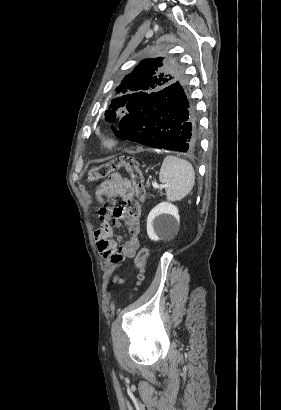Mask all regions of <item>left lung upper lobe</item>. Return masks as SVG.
Returning a JSON list of instances; mask_svg holds the SVG:
<instances>
[{"mask_svg":"<svg viewBox=\"0 0 281 410\" xmlns=\"http://www.w3.org/2000/svg\"><path fill=\"white\" fill-rule=\"evenodd\" d=\"M183 80V72L177 64L163 58L146 59L117 87L119 96L111 101L105 119L107 121L119 119L120 112L117 110L126 112L127 115L137 113L149 103L155 93Z\"/></svg>","mask_w":281,"mask_h":410,"instance_id":"1","label":"left lung upper lobe"}]
</instances>
